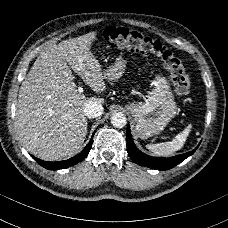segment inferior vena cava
<instances>
[{
  "label": "inferior vena cava",
  "instance_id": "1",
  "mask_svg": "<svg viewBox=\"0 0 228 228\" xmlns=\"http://www.w3.org/2000/svg\"><path fill=\"white\" fill-rule=\"evenodd\" d=\"M103 113V106L93 100H88L85 104L84 114L89 118H96Z\"/></svg>",
  "mask_w": 228,
  "mask_h": 228
}]
</instances>
